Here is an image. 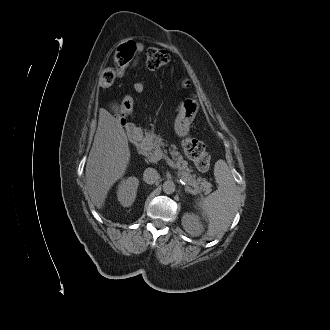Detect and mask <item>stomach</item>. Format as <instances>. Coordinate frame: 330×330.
<instances>
[{
    "label": "stomach",
    "mask_w": 330,
    "mask_h": 330,
    "mask_svg": "<svg viewBox=\"0 0 330 330\" xmlns=\"http://www.w3.org/2000/svg\"><path fill=\"white\" fill-rule=\"evenodd\" d=\"M198 110L199 103L196 99L186 98L181 102L175 120V132L179 137H186L189 134L190 124L193 122Z\"/></svg>",
    "instance_id": "0dacf381"
}]
</instances>
